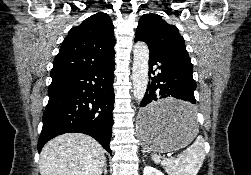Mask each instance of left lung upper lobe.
Listing matches in <instances>:
<instances>
[{
	"instance_id": "left-lung-upper-lobe-1",
	"label": "left lung upper lobe",
	"mask_w": 251,
	"mask_h": 175,
	"mask_svg": "<svg viewBox=\"0 0 251 175\" xmlns=\"http://www.w3.org/2000/svg\"><path fill=\"white\" fill-rule=\"evenodd\" d=\"M135 40L145 42L150 51L191 65L185 40L176 26L168 24L158 14H144L138 23Z\"/></svg>"
}]
</instances>
